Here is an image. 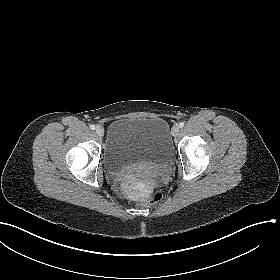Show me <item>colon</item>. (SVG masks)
I'll return each mask as SVG.
<instances>
[{
    "mask_svg": "<svg viewBox=\"0 0 280 280\" xmlns=\"http://www.w3.org/2000/svg\"><path fill=\"white\" fill-rule=\"evenodd\" d=\"M162 198V194L160 191L155 190L153 192H151L147 197L145 202L149 205L155 204L158 201H160V199Z\"/></svg>",
    "mask_w": 280,
    "mask_h": 280,
    "instance_id": "colon-1",
    "label": "colon"
}]
</instances>
